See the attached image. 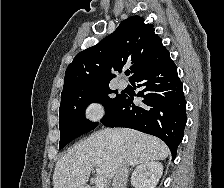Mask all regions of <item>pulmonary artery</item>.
Wrapping results in <instances>:
<instances>
[{
  "mask_svg": "<svg viewBox=\"0 0 224 188\" xmlns=\"http://www.w3.org/2000/svg\"><path fill=\"white\" fill-rule=\"evenodd\" d=\"M118 86L121 89L126 88L127 87V81L125 79H120L119 82H118Z\"/></svg>",
  "mask_w": 224,
  "mask_h": 188,
  "instance_id": "1",
  "label": "pulmonary artery"
}]
</instances>
